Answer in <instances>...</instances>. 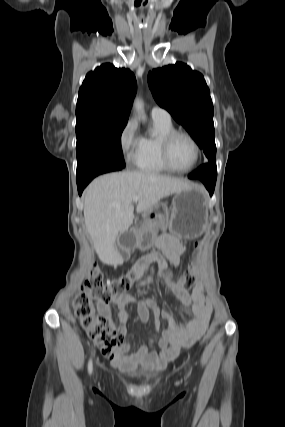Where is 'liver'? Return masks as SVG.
Returning <instances> with one entry per match:
<instances>
[{"instance_id": "1", "label": "liver", "mask_w": 285, "mask_h": 427, "mask_svg": "<svg viewBox=\"0 0 285 427\" xmlns=\"http://www.w3.org/2000/svg\"><path fill=\"white\" fill-rule=\"evenodd\" d=\"M191 185L178 178L150 172L110 173L93 180L84 193V219L99 259L106 264L117 263L115 240L133 223L134 196L139 197L136 211L141 213L162 198Z\"/></svg>"}]
</instances>
